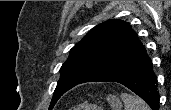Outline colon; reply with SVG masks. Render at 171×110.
Listing matches in <instances>:
<instances>
[{
	"label": "colon",
	"mask_w": 171,
	"mask_h": 110,
	"mask_svg": "<svg viewBox=\"0 0 171 110\" xmlns=\"http://www.w3.org/2000/svg\"><path fill=\"white\" fill-rule=\"evenodd\" d=\"M73 110H80L79 108H74Z\"/></svg>",
	"instance_id": "5ec220e1"
}]
</instances>
